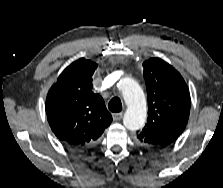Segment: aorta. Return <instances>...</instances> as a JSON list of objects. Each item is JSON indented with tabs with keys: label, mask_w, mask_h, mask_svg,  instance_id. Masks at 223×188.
<instances>
[{
	"label": "aorta",
	"mask_w": 223,
	"mask_h": 188,
	"mask_svg": "<svg viewBox=\"0 0 223 188\" xmlns=\"http://www.w3.org/2000/svg\"><path fill=\"white\" fill-rule=\"evenodd\" d=\"M127 110L124 114V126L131 131L141 129L146 121L147 106L143 90L136 81L124 78L119 83Z\"/></svg>",
	"instance_id": "obj_1"
}]
</instances>
